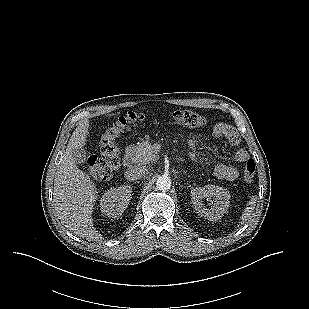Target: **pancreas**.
<instances>
[{"instance_id": "obj_1", "label": "pancreas", "mask_w": 309, "mask_h": 309, "mask_svg": "<svg viewBox=\"0 0 309 309\" xmlns=\"http://www.w3.org/2000/svg\"><path fill=\"white\" fill-rule=\"evenodd\" d=\"M135 162L139 164H149L158 159V155L149 141H143L133 148Z\"/></svg>"}]
</instances>
